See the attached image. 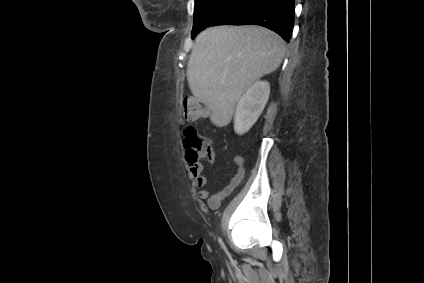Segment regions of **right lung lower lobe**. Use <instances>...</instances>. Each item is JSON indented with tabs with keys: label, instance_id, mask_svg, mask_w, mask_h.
I'll list each match as a JSON object with an SVG mask.
<instances>
[{
	"label": "right lung lower lobe",
	"instance_id": "1",
	"mask_svg": "<svg viewBox=\"0 0 424 283\" xmlns=\"http://www.w3.org/2000/svg\"><path fill=\"white\" fill-rule=\"evenodd\" d=\"M293 24L294 0H228L192 38L212 25H259L289 42Z\"/></svg>",
	"mask_w": 424,
	"mask_h": 283
}]
</instances>
